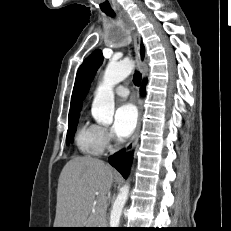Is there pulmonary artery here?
<instances>
[{"mask_svg":"<svg viewBox=\"0 0 231 231\" xmlns=\"http://www.w3.org/2000/svg\"><path fill=\"white\" fill-rule=\"evenodd\" d=\"M115 93L118 95V96H121V97H127L129 95V89L127 87H125L124 85H118L116 88H115Z\"/></svg>","mask_w":231,"mask_h":231,"instance_id":"obj_1","label":"pulmonary artery"}]
</instances>
